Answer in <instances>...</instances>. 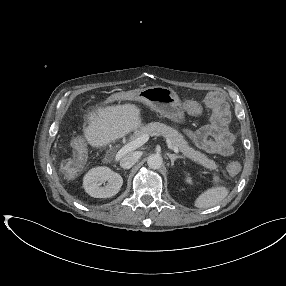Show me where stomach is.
Listing matches in <instances>:
<instances>
[{"label":"stomach","mask_w":286,"mask_h":286,"mask_svg":"<svg viewBox=\"0 0 286 286\" xmlns=\"http://www.w3.org/2000/svg\"><path fill=\"white\" fill-rule=\"evenodd\" d=\"M138 97L162 116L177 123L185 121L179 96L173 89L163 86L145 87L138 90Z\"/></svg>","instance_id":"0dacf381"}]
</instances>
